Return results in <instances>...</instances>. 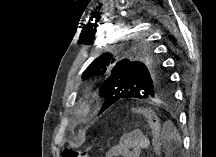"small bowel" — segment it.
Here are the masks:
<instances>
[{"label": "small bowel", "instance_id": "obj_1", "mask_svg": "<svg viewBox=\"0 0 216 157\" xmlns=\"http://www.w3.org/2000/svg\"><path fill=\"white\" fill-rule=\"evenodd\" d=\"M150 142L141 131L124 134L118 145L108 152L109 157H137L141 151L149 148Z\"/></svg>", "mask_w": 216, "mask_h": 157}]
</instances>
